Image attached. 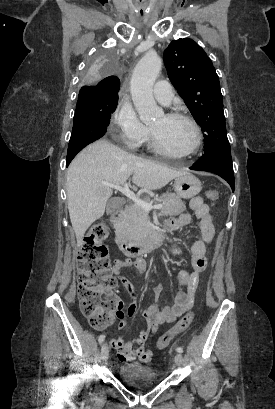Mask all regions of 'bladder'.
<instances>
[{"label":"bladder","instance_id":"obj_1","mask_svg":"<svg viewBox=\"0 0 275 409\" xmlns=\"http://www.w3.org/2000/svg\"><path fill=\"white\" fill-rule=\"evenodd\" d=\"M118 380L130 387L148 386L159 383V376L155 374L151 365L142 362H126L116 369Z\"/></svg>","mask_w":275,"mask_h":409}]
</instances>
